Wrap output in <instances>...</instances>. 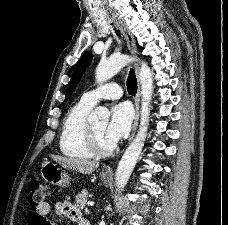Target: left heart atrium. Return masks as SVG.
<instances>
[{
	"mask_svg": "<svg viewBox=\"0 0 228 225\" xmlns=\"http://www.w3.org/2000/svg\"><path fill=\"white\" fill-rule=\"evenodd\" d=\"M133 120L132 108L128 103H119L111 110V117L106 128V137L117 141L126 137L130 132Z\"/></svg>",
	"mask_w": 228,
	"mask_h": 225,
	"instance_id": "obj_1",
	"label": "left heart atrium"
}]
</instances>
